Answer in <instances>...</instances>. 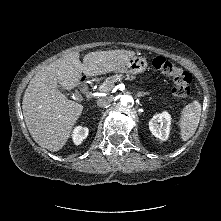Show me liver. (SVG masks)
<instances>
[{
  "label": "liver",
  "mask_w": 221,
  "mask_h": 221,
  "mask_svg": "<svg viewBox=\"0 0 221 221\" xmlns=\"http://www.w3.org/2000/svg\"><path fill=\"white\" fill-rule=\"evenodd\" d=\"M135 55L134 51L109 50L86 54L83 63L78 52L69 53L41 69L30 81L22 101L26 126L34 141L51 152L63 148L83 111L68 100L57 85L74 89L82 73L98 76L118 70Z\"/></svg>",
  "instance_id": "6515ba94"
}]
</instances>
